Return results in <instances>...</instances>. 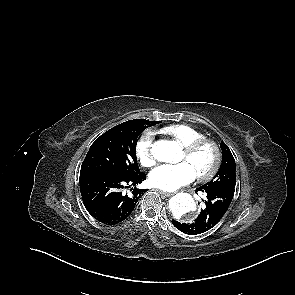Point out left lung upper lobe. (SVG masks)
Returning a JSON list of instances; mask_svg holds the SVG:
<instances>
[{"mask_svg": "<svg viewBox=\"0 0 295 295\" xmlns=\"http://www.w3.org/2000/svg\"><path fill=\"white\" fill-rule=\"evenodd\" d=\"M222 149V164L220 166L219 171L213 177V179L204 184L205 188H218L225 187L235 189L236 185V168H235V160L229 149V147L221 142Z\"/></svg>", "mask_w": 295, "mask_h": 295, "instance_id": "5c2ea615", "label": "left lung upper lobe"}]
</instances>
